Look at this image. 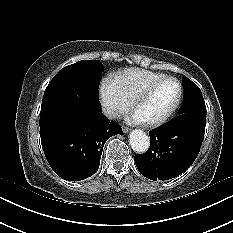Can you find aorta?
I'll use <instances>...</instances> for the list:
<instances>
[{"mask_svg":"<svg viewBox=\"0 0 233 233\" xmlns=\"http://www.w3.org/2000/svg\"><path fill=\"white\" fill-rule=\"evenodd\" d=\"M129 142L132 149L137 153L146 152L150 145L149 137L140 129H135L130 132Z\"/></svg>","mask_w":233,"mask_h":233,"instance_id":"obj_1","label":"aorta"}]
</instances>
